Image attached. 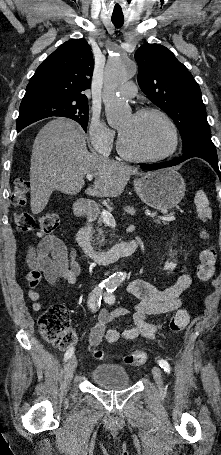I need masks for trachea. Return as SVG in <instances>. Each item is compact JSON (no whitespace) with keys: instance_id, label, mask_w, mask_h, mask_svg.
<instances>
[{"instance_id":"obj_1","label":"trachea","mask_w":221,"mask_h":455,"mask_svg":"<svg viewBox=\"0 0 221 455\" xmlns=\"http://www.w3.org/2000/svg\"><path fill=\"white\" fill-rule=\"evenodd\" d=\"M111 20H112L113 24L115 25V27H118V28H120L124 23V19H122V18H112Z\"/></svg>"}]
</instances>
